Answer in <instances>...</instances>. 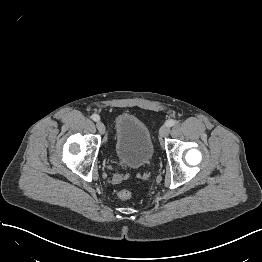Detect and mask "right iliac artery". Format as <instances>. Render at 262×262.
Segmentation results:
<instances>
[{
  "label": "right iliac artery",
  "mask_w": 262,
  "mask_h": 262,
  "mask_svg": "<svg viewBox=\"0 0 262 262\" xmlns=\"http://www.w3.org/2000/svg\"><path fill=\"white\" fill-rule=\"evenodd\" d=\"M92 119H93L94 121H99V120H100V117H99V115H97V114H93V115H92Z\"/></svg>",
  "instance_id": "right-iliac-artery-1"
}]
</instances>
